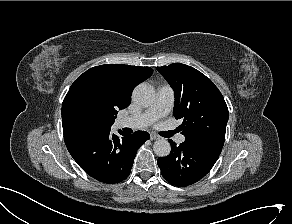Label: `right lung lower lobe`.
Wrapping results in <instances>:
<instances>
[{
	"mask_svg": "<svg viewBox=\"0 0 292 224\" xmlns=\"http://www.w3.org/2000/svg\"><path fill=\"white\" fill-rule=\"evenodd\" d=\"M66 147L77 164L92 178L107 184L119 183L130 174L139 147L150 135L145 131L121 137L110 130L89 132L63 130Z\"/></svg>",
	"mask_w": 292,
	"mask_h": 224,
	"instance_id": "obj_1",
	"label": "right lung lower lobe"
}]
</instances>
